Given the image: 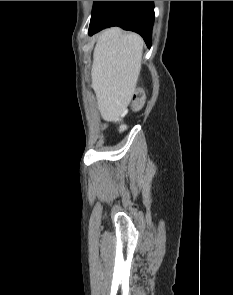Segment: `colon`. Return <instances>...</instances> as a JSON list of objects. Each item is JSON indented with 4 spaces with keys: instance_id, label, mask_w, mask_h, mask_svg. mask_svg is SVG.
<instances>
[{
    "instance_id": "obj_1",
    "label": "colon",
    "mask_w": 233,
    "mask_h": 295,
    "mask_svg": "<svg viewBox=\"0 0 233 295\" xmlns=\"http://www.w3.org/2000/svg\"><path fill=\"white\" fill-rule=\"evenodd\" d=\"M142 103H143V94L141 92H138L134 96L133 107L135 109H138L141 107Z\"/></svg>"
}]
</instances>
